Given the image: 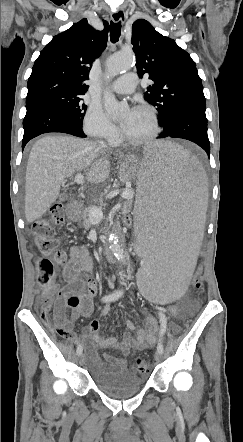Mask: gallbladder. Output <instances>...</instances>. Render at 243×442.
Returning a JSON list of instances; mask_svg holds the SVG:
<instances>
[{
  "label": "gallbladder",
  "instance_id": "1",
  "mask_svg": "<svg viewBox=\"0 0 243 442\" xmlns=\"http://www.w3.org/2000/svg\"><path fill=\"white\" fill-rule=\"evenodd\" d=\"M67 190H68V188L65 187V188H64V192H63L62 194H60L59 199H60L61 201H64V200L67 199V197H68Z\"/></svg>",
  "mask_w": 243,
  "mask_h": 442
}]
</instances>
